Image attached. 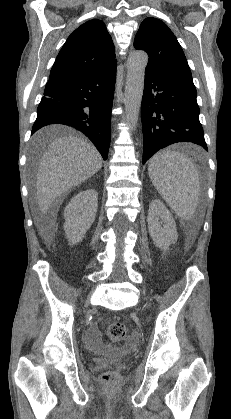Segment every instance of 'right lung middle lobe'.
<instances>
[{
	"label": "right lung middle lobe",
	"instance_id": "1",
	"mask_svg": "<svg viewBox=\"0 0 231 419\" xmlns=\"http://www.w3.org/2000/svg\"><path fill=\"white\" fill-rule=\"evenodd\" d=\"M35 146H37V147H39V146H40L39 141H35Z\"/></svg>",
	"mask_w": 231,
	"mask_h": 419
}]
</instances>
